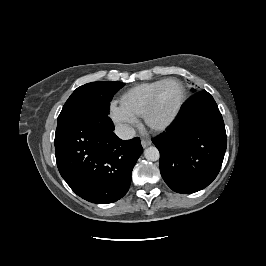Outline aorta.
Wrapping results in <instances>:
<instances>
[{
	"label": "aorta",
	"mask_w": 266,
	"mask_h": 266,
	"mask_svg": "<svg viewBox=\"0 0 266 266\" xmlns=\"http://www.w3.org/2000/svg\"><path fill=\"white\" fill-rule=\"evenodd\" d=\"M144 156L149 161H157L160 157L159 150L155 146H150L145 149Z\"/></svg>",
	"instance_id": "obj_1"
}]
</instances>
